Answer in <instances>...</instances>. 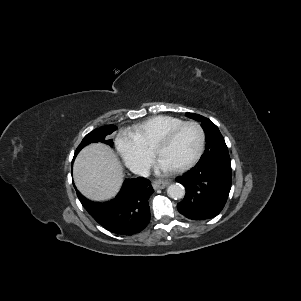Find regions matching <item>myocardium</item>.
I'll return each mask as SVG.
<instances>
[{"label":"myocardium","instance_id":"myocardium-1","mask_svg":"<svg viewBox=\"0 0 301 301\" xmlns=\"http://www.w3.org/2000/svg\"><path fill=\"white\" fill-rule=\"evenodd\" d=\"M194 126L199 133V143H198V148L194 154V156L188 160L186 163L175 167L176 171H183L186 170L190 167H192L201 157L203 150H204V145H205V132L203 127L196 121H184L182 123H180L179 125L173 127L172 129L168 130L167 132L163 133L162 135H160L156 141L154 142V147L160 145V144H166L168 142H170L177 134L178 132L186 127V126ZM155 153V152H154ZM156 156H158L155 153Z\"/></svg>","mask_w":301,"mask_h":301}]
</instances>
